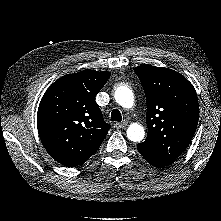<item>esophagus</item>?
I'll list each match as a JSON object with an SVG mask.
<instances>
[{
	"label": "esophagus",
	"instance_id": "34e87169",
	"mask_svg": "<svg viewBox=\"0 0 221 221\" xmlns=\"http://www.w3.org/2000/svg\"><path fill=\"white\" fill-rule=\"evenodd\" d=\"M128 125V122L126 120L122 121V122H118L115 124L116 128H125Z\"/></svg>",
	"mask_w": 221,
	"mask_h": 221
}]
</instances>
